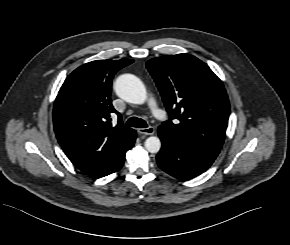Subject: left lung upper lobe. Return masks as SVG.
Masks as SVG:
<instances>
[{"mask_svg":"<svg viewBox=\"0 0 290 245\" xmlns=\"http://www.w3.org/2000/svg\"><path fill=\"white\" fill-rule=\"evenodd\" d=\"M146 67L162 95L170 120L159 129L174 139L218 155L226 135L230 106L221 80L190 54L153 58Z\"/></svg>","mask_w":290,"mask_h":245,"instance_id":"1","label":"left lung upper lobe"}]
</instances>
